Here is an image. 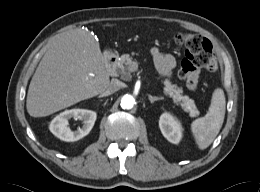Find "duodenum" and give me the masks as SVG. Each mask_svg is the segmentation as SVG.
Instances as JSON below:
<instances>
[{"label": "duodenum", "instance_id": "obj_1", "mask_svg": "<svg viewBox=\"0 0 260 192\" xmlns=\"http://www.w3.org/2000/svg\"><path fill=\"white\" fill-rule=\"evenodd\" d=\"M118 59L115 55H108L105 59L106 69L109 73H113L117 65Z\"/></svg>", "mask_w": 260, "mask_h": 192}]
</instances>
